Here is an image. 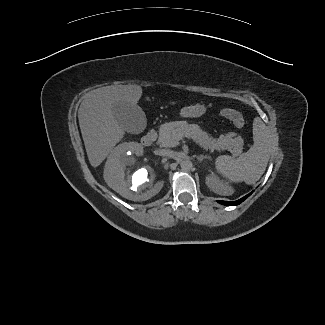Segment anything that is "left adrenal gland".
<instances>
[{"label":"left adrenal gland","instance_id":"a2214340","mask_svg":"<svg viewBox=\"0 0 325 325\" xmlns=\"http://www.w3.org/2000/svg\"><path fill=\"white\" fill-rule=\"evenodd\" d=\"M204 159H210V157L209 156H204V155H200V156H197V160L199 161V162H201V161H203Z\"/></svg>","mask_w":325,"mask_h":325}]
</instances>
